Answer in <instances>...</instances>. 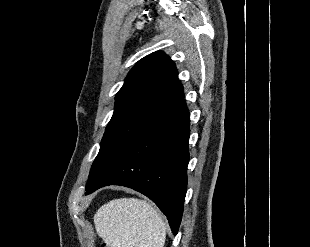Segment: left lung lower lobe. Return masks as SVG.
I'll use <instances>...</instances> for the list:
<instances>
[{
    "label": "left lung lower lobe",
    "mask_w": 310,
    "mask_h": 247,
    "mask_svg": "<svg viewBox=\"0 0 310 247\" xmlns=\"http://www.w3.org/2000/svg\"><path fill=\"white\" fill-rule=\"evenodd\" d=\"M190 114L182 99L150 124L86 194L122 185L149 197L177 234L187 187Z\"/></svg>",
    "instance_id": "left-lung-lower-lobe-1"
}]
</instances>
